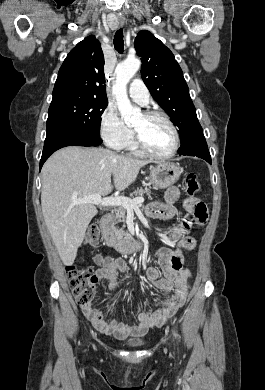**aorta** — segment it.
Masks as SVG:
<instances>
[{
	"label": "aorta",
	"instance_id": "obj_1",
	"mask_svg": "<svg viewBox=\"0 0 265 390\" xmlns=\"http://www.w3.org/2000/svg\"><path fill=\"white\" fill-rule=\"evenodd\" d=\"M140 65L139 59L132 58L117 64L115 69L116 81L112 87V94L115 96L121 118L127 125L134 123L141 116V110L132 106L127 95V84L139 70Z\"/></svg>",
	"mask_w": 265,
	"mask_h": 390
}]
</instances>
